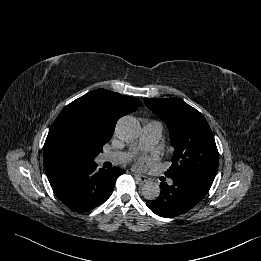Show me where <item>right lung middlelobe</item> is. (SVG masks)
I'll return each instance as SVG.
<instances>
[{"mask_svg":"<svg viewBox=\"0 0 261 261\" xmlns=\"http://www.w3.org/2000/svg\"><path fill=\"white\" fill-rule=\"evenodd\" d=\"M111 139L90 117L80 115L70 119L56 142V152L73 163L94 161L103 145Z\"/></svg>","mask_w":261,"mask_h":261,"instance_id":"obj_1","label":"right lung middle lobe"}]
</instances>
